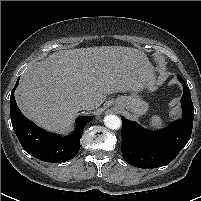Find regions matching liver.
Segmentation results:
<instances>
[{
	"label": "liver",
	"mask_w": 201,
	"mask_h": 201,
	"mask_svg": "<svg viewBox=\"0 0 201 201\" xmlns=\"http://www.w3.org/2000/svg\"><path fill=\"white\" fill-rule=\"evenodd\" d=\"M147 55L135 48L100 46L61 50L32 65L16 92L22 112L38 126L64 131L88 100L97 109L106 96L152 81Z\"/></svg>",
	"instance_id": "1"
}]
</instances>
